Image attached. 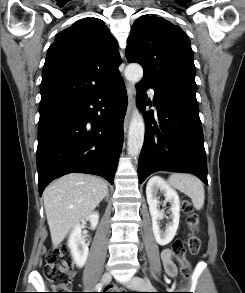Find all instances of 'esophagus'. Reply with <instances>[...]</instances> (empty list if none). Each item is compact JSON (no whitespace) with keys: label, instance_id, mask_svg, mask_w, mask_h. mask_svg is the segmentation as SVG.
Returning a JSON list of instances; mask_svg holds the SVG:
<instances>
[{"label":"esophagus","instance_id":"esophagus-1","mask_svg":"<svg viewBox=\"0 0 245 293\" xmlns=\"http://www.w3.org/2000/svg\"><path fill=\"white\" fill-rule=\"evenodd\" d=\"M126 90H127V96H128V106H127V111L126 115L124 118V133L127 132L128 129V124L131 119L132 113H133V108L135 106V89L134 86L130 83L126 84Z\"/></svg>","mask_w":245,"mask_h":293}]
</instances>
